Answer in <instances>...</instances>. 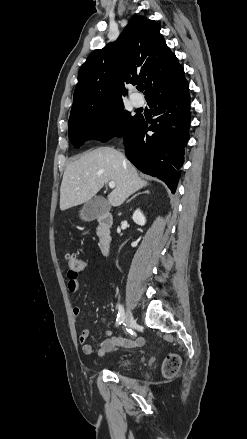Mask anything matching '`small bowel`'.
<instances>
[{"label":"small bowel","instance_id":"1","mask_svg":"<svg viewBox=\"0 0 247 439\" xmlns=\"http://www.w3.org/2000/svg\"><path fill=\"white\" fill-rule=\"evenodd\" d=\"M78 273L71 270L68 271V289L75 293L79 290ZM72 313L75 317L81 315V308L78 306L73 307ZM106 321V317L101 319V323ZM92 335V331L88 328L81 330L79 334V342L82 345L83 352L87 355L104 356L106 353L111 352L116 346L133 347L142 344V339L128 340L113 336L111 330L104 331L105 340H103L98 346H92L87 343L88 338Z\"/></svg>","mask_w":247,"mask_h":439}]
</instances>
